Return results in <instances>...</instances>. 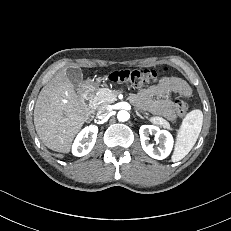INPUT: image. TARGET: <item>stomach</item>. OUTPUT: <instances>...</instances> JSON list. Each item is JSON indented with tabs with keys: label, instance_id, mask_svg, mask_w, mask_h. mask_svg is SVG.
I'll return each mask as SVG.
<instances>
[{
	"label": "stomach",
	"instance_id": "obj_1",
	"mask_svg": "<svg viewBox=\"0 0 231 231\" xmlns=\"http://www.w3.org/2000/svg\"><path fill=\"white\" fill-rule=\"evenodd\" d=\"M101 82V78H96V79H89L87 80L86 84L89 86V87H94L96 85H98L99 83Z\"/></svg>",
	"mask_w": 231,
	"mask_h": 231
}]
</instances>
